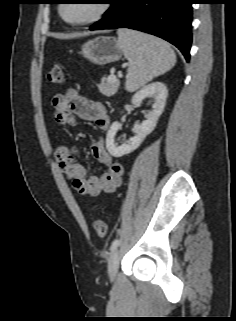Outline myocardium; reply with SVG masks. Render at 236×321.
<instances>
[{
    "instance_id": "obj_1",
    "label": "myocardium",
    "mask_w": 236,
    "mask_h": 321,
    "mask_svg": "<svg viewBox=\"0 0 236 321\" xmlns=\"http://www.w3.org/2000/svg\"><path fill=\"white\" fill-rule=\"evenodd\" d=\"M66 3H60L58 6V14L61 20L72 26H83V25H89L92 23H95L99 21L101 18H103L110 10V3L106 0L98 1V8L97 10L88 18L80 19V20H68L65 18L63 14V9L65 7Z\"/></svg>"
}]
</instances>
